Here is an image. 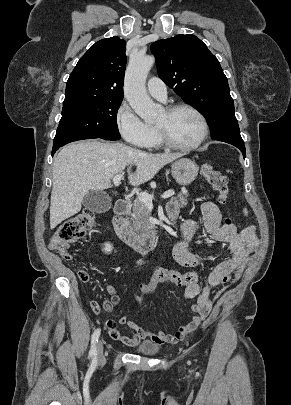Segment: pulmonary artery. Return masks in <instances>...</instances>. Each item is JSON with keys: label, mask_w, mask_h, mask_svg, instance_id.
Masks as SVG:
<instances>
[{"label": "pulmonary artery", "mask_w": 291, "mask_h": 405, "mask_svg": "<svg viewBox=\"0 0 291 405\" xmlns=\"http://www.w3.org/2000/svg\"><path fill=\"white\" fill-rule=\"evenodd\" d=\"M149 94L159 100H165L167 97V88L165 83L158 77H151L147 82Z\"/></svg>", "instance_id": "1"}]
</instances>
